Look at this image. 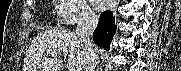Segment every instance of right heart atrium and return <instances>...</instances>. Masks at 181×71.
Listing matches in <instances>:
<instances>
[{"label":"right heart atrium","instance_id":"right-heart-atrium-1","mask_svg":"<svg viewBox=\"0 0 181 71\" xmlns=\"http://www.w3.org/2000/svg\"><path fill=\"white\" fill-rule=\"evenodd\" d=\"M59 16L65 24H83L94 19V14L84 0H60Z\"/></svg>","mask_w":181,"mask_h":71}]
</instances>
